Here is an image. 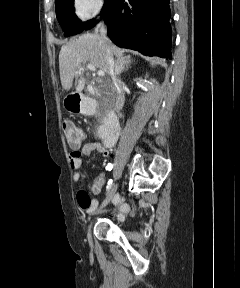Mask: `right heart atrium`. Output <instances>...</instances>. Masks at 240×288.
<instances>
[{"mask_svg": "<svg viewBox=\"0 0 240 288\" xmlns=\"http://www.w3.org/2000/svg\"><path fill=\"white\" fill-rule=\"evenodd\" d=\"M103 6V0H74V11L78 18L87 20L97 15Z\"/></svg>", "mask_w": 240, "mask_h": 288, "instance_id": "right-heart-atrium-1", "label": "right heart atrium"}]
</instances>
